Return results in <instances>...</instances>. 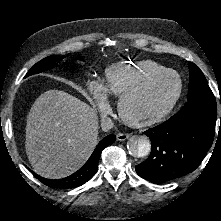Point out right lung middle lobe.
<instances>
[{"instance_id": "obj_1", "label": "right lung middle lobe", "mask_w": 221, "mask_h": 221, "mask_svg": "<svg viewBox=\"0 0 221 221\" xmlns=\"http://www.w3.org/2000/svg\"><path fill=\"white\" fill-rule=\"evenodd\" d=\"M62 58L63 57H61V56H49V57H46V58L42 59L41 61L36 63L29 70V72L26 74L25 77L33 75V74L40 73L42 71H46L50 68H53L54 66H56V62L60 61ZM79 60H82V59L79 58Z\"/></svg>"}]
</instances>
